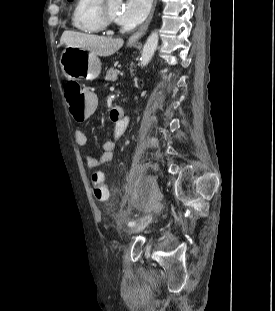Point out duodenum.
<instances>
[{
	"mask_svg": "<svg viewBox=\"0 0 275 311\" xmlns=\"http://www.w3.org/2000/svg\"><path fill=\"white\" fill-rule=\"evenodd\" d=\"M114 109H115V110H123L122 107H115Z\"/></svg>",
	"mask_w": 275,
	"mask_h": 311,
	"instance_id": "1",
	"label": "duodenum"
}]
</instances>
